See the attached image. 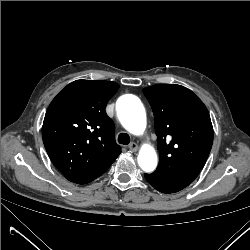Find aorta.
<instances>
[{"label":"aorta","instance_id":"obj_1","mask_svg":"<svg viewBox=\"0 0 250 250\" xmlns=\"http://www.w3.org/2000/svg\"><path fill=\"white\" fill-rule=\"evenodd\" d=\"M121 113L120 121L132 134L143 132L146 128V111L141 101L134 95H123L116 104ZM138 164L145 172L153 171L157 166V154L150 145H143L138 155Z\"/></svg>","mask_w":250,"mask_h":250}]
</instances>
